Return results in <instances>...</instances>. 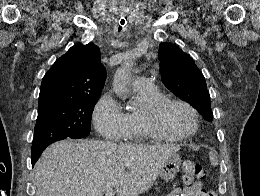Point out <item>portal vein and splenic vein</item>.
Instances as JSON below:
<instances>
[{
	"instance_id": "18ae733b",
	"label": "portal vein and splenic vein",
	"mask_w": 260,
	"mask_h": 196,
	"mask_svg": "<svg viewBox=\"0 0 260 196\" xmlns=\"http://www.w3.org/2000/svg\"><path fill=\"white\" fill-rule=\"evenodd\" d=\"M116 192L114 188H109V190H106L105 196H115Z\"/></svg>"
}]
</instances>
